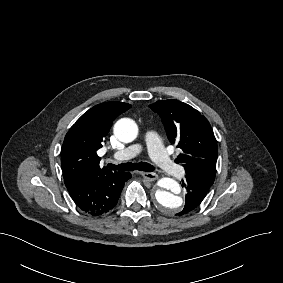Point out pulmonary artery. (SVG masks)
<instances>
[{
    "label": "pulmonary artery",
    "instance_id": "obj_1",
    "mask_svg": "<svg viewBox=\"0 0 283 283\" xmlns=\"http://www.w3.org/2000/svg\"><path fill=\"white\" fill-rule=\"evenodd\" d=\"M145 140L149 149L151 161L156 168L165 173L174 172V175L176 176L183 175L182 166L176 165L175 160L166 155L162 139L160 136L156 135L155 131H147L145 133ZM141 149V146L135 145L124 151L114 153L113 158L119 161H126L138 155L141 152ZM176 167L178 169L175 171Z\"/></svg>",
    "mask_w": 283,
    "mask_h": 283
}]
</instances>
